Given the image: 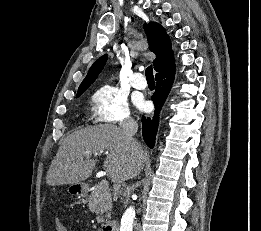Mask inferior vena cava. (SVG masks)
I'll list each match as a JSON object with an SVG mask.
<instances>
[{"label":"inferior vena cava","mask_w":261,"mask_h":231,"mask_svg":"<svg viewBox=\"0 0 261 231\" xmlns=\"http://www.w3.org/2000/svg\"><path fill=\"white\" fill-rule=\"evenodd\" d=\"M120 127L124 141L131 147L133 154L137 156L140 152V145L134 139V135L138 130L137 122L131 117H127L121 122Z\"/></svg>","instance_id":"602c4592"}]
</instances>
